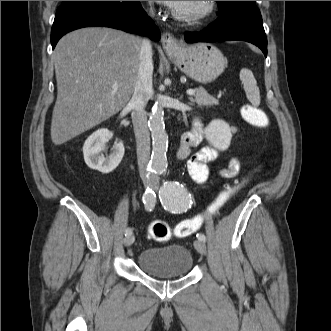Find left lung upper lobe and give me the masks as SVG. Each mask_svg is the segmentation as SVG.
Masks as SVG:
<instances>
[{"mask_svg": "<svg viewBox=\"0 0 331 331\" xmlns=\"http://www.w3.org/2000/svg\"><path fill=\"white\" fill-rule=\"evenodd\" d=\"M217 3L219 6V16L232 11L257 8L255 1H217Z\"/></svg>", "mask_w": 331, "mask_h": 331, "instance_id": "1", "label": "left lung upper lobe"}]
</instances>
